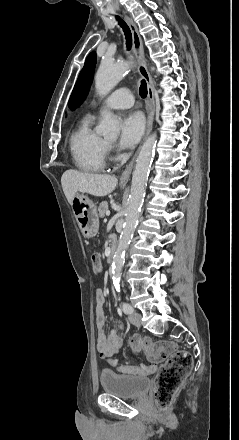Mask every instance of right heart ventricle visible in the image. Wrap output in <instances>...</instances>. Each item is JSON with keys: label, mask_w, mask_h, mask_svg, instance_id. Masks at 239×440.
I'll return each instance as SVG.
<instances>
[{"label": "right heart ventricle", "mask_w": 239, "mask_h": 440, "mask_svg": "<svg viewBox=\"0 0 239 440\" xmlns=\"http://www.w3.org/2000/svg\"><path fill=\"white\" fill-rule=\"evenodd\" d=\"M69 152L74 166L81 171L99 173L106 167V144L90 130L88 117L71 133Z\"/></svg>", "instance_id": "1"}]
</instances>
